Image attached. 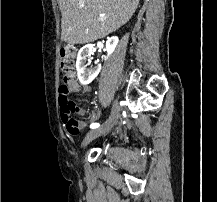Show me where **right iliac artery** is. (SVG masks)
I'll return each mask as SVG.
<instances>
[{
    "mask_svg": "<svg viewBox=\"0 0 217 202\" xmlns=\"http://www.w3.org/2000/svg\"><path fill=\"white\" fill-rule=\"evenodd\" d=\"M99 126H100L99 123H92V124L90 125V128L95 129V128H98Z\"/></svg>",
    "mask_w": 217,
    "mask_h": 202,
    "instance_id": "obj_1",
    "label": "right iliac artery"
}]
</instances>
